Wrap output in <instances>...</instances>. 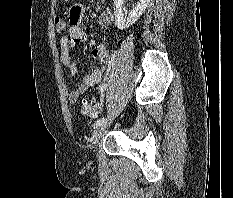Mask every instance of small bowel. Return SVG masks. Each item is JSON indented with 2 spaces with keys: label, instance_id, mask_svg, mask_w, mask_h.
<instances>
[{
  "label": "small bowel",
  "instance_id": "1",
  "mask_svg": "<svg viewBox=\"0 0 233 198\" xmlns=\"http://www.w3.org/2000/svg\"><path fill=\"white\" fill-rule=\"evenodd\" d=\"M84 18V8L81 5H74L69 11L70 27L66 34L61 38V63L68 70L71 77L78 73V68L72 58V48L86 41L87 36L82 27ZM113 20V11L109 8L104 9L97 17V22L101 26L110 25ZM94 59L102 64V68L95 69L84 75L79 86L68 93V100L76 103L80 97L92 86L100 83L103 70L112 63V55L107 46L103 43L95 47L92 51Z\"/></svg>",
  "mask_w": 233,
  "mask_h": 198
}]
</instances>
